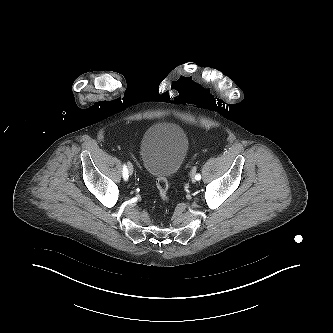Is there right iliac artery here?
<instances>
[{
  "instance_id": "right-iliac-artery-1",
  "label": "right iliac artery",
  "mask_w": 333,
  "mask_h": 333,
  "mask_svg": "<svg viewBox=\"0 0 333 333\" xmlns=\"http://www.w3.org/2000/svg\"><path fill=\"white\" fill-rule=\"evenodd\" d=\"M122 172H123V178H124V180H127L128 176H129V171H128V168H127V166L125 164L123 165Z\"/></svg>"
}]
</instances>
